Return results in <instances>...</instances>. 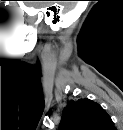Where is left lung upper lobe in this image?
<instances>
[{
  "instance_id": "obj_1",
  "label": "left lung upper lobe",
  "mask_w": 123,
  "mask_h": 130,
  "mask_svg": "<svg viewBox=\"0 0 123 130\" xmlns=\"http://www.w3.org/2000/svg\"><path fill=\"white\" fill-rule=\"evenodd\" d=\"M63 119L68 130H104L110 128V119L104 110L89 99L70 101Z\"/></svg>"
}]
</instances>
